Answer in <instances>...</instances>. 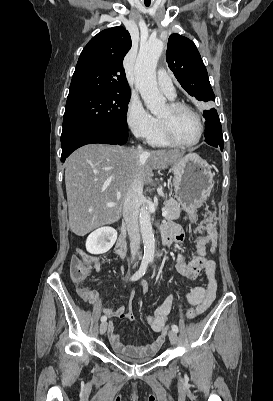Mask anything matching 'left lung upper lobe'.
<instances>
[{
    "label": "left lung upper lobe",
    "mask_w": 273,
    "mask_h": 401,
    "mask_svg": "<svg viewBox=\"0 0 273 401\" xmlns=\"http://www.w3.org/2000/svg\"><path fill=\"white\" fill-rule=\"evenodd\" d=\"M166 61L189 95L198 101H215L206 67L190 39L172 34L168 39Z\"/></svg>",
    "instance_id": "left-lung-upper-lobe-1"
}]
</instances>
